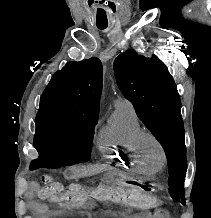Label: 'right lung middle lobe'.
<instances>
[{"instance_id":"obj_1","label":"right lung middle lobe","mask_w":211,"mask_h":218,"mask_svg":"<svg viewBox=\"0 0 211 218\" xmlns=\"http://www.w3.org/2000/svg\"><path fill=\"white\" fill-rule=\"evenodd\" d=\"M98 116H85L71 113L40 111L36 116L35 143H70L81 148L82 161H88L91 155L94 126ZM81 162V161H78ZM68 162L65 164H73Z\"/></svg>"}]
</instances>
